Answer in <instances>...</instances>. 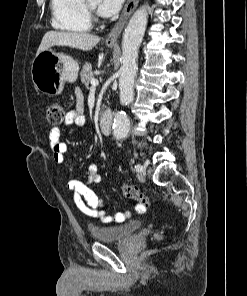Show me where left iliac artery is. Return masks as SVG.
I'll list each match as a JSON object with an SVG mask.
<instances>
[{
  "mask_svg": "<svg viewBox=\"0 0 247 296\" xmlns=\"http://www.w3.org/2000/svg\"><path fill=\"white\" fill-rule=\"evenodd\" d=\"M142 168H143V167H142L140 164L135 165V170H136L137 172L141 171Z\"/></svg>",
  "mask_w": 247,
  "mask_h": 296,
  "instance_id": "44dca946",
  "label": "left iliac artery"
}]
</instances>
